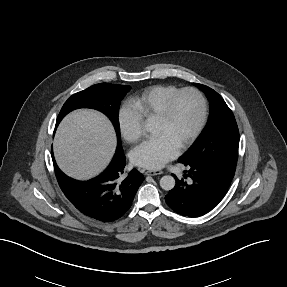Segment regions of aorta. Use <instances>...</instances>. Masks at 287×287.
Wrapping results in <instances>:
<instances>
[{"label":"aorta","mask_w":287,"mask_h":287,"mask_svg":"<svg viewBox=\"0 0 287 287\" xmlns=\"http://www.w3.org/2000/svg\"><path fill=\"white\" fill-rule=\"evenodd\" d=\"M160 186L162 189L169 191L175 186V179L173 176L165 175L160 179Z\"/></svg>","instance_id":"762f6f07"}]
</instances>
